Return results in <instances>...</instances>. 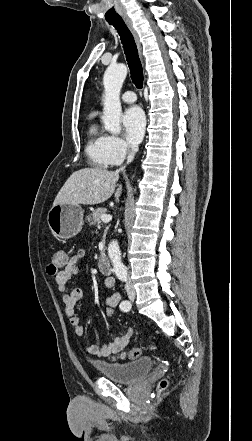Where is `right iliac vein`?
I'll use <instances>...</instances> for the list:
<instances>
[{"label":"right iliac vein","mask_w":252,"mask_h":441,"mask_svg":"<svg viewBox=\"0 0 252 441\" xmlns=\"http://www.w3.org/2000/svg\"><path fill=\"white\" fill-rule=\"evenodd\" d=\"M128 297H129L131 300H134V299H135V292H133V291H128Z\"/></svg>","instance_id":"obj_1"}]
</instances>
